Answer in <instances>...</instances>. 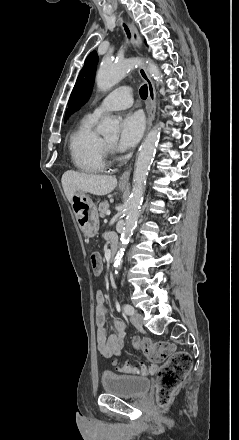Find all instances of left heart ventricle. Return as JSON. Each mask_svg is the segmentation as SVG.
<instances>
[{"instance_id":"obj_1","label":"left heart ventricle","mask_w":239,"mask_h":440,"mask_svg":"<svg viewBox=\"0 0 239 440\" xmlns=\"http://www.w3.org/2000/svg\"><path fill=\"white\" fill-rule=\"evenodd\" d=\"M103 139H104V141H105L106 143L112 145V144L114 143V141H115V136H112V137H103Z\"/></svg>"}]
</instances>
